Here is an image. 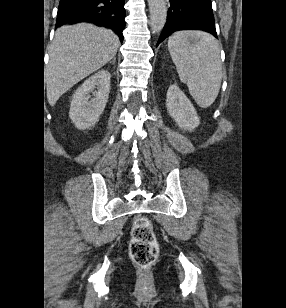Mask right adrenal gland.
<instances>
[{
    "label": "right adrenal gland",
    "mask_w": 286,
    "mask_h": 308,
    "mask_svg": "<svg viewBox=\"0 0 286 308\" xmlns=\"http://www.w3.org/2000/svg\"><path fill=\"white\" fill-rule=\"evenodd\" d=\"M115 62H116V58L114 57V58H113V60H112V61H110V63L115 64Z\"/></svg>",
    "instance_id": "right-adrenal-gland-1"
}]
</instances>
